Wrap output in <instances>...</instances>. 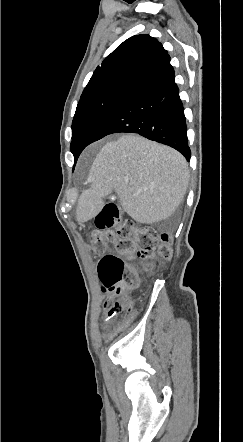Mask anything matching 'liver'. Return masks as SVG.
I'll return each mask as SVG.
<instances>
[{
  "mask_svg": "<svg viewBox=\"0 0 243 442\" xmlns=\"http://www.w3.org/2000/svg\"><path fill=\"white\" fill-rule=\"evenodd\" d=\"M188 163L178 151L135 134L107 142L89 172L91 187L78 199L76 218L87 222L113 190L124 211L141 224L172 216L189 184Z\"/></svg>",
  "mask_w": 243,
  "mask_h": 442,
  "instance_id": "liver-1",
  "label": "liver"
}]
</instances>
